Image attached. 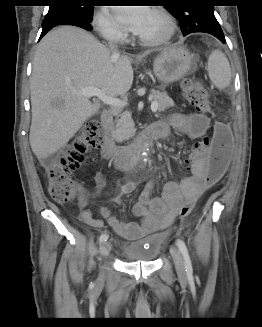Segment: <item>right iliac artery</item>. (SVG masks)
Returning a JSON list of instances; mask_svg holds the SVG:
<instances>
[{
	"label": "right iliac artery",
	"instance_id": "82829eb1",
	"mask_svg": "<svg viewBox=\"0 0 262 327\" xmlns=\"http://www.w3.org/2000/svg\"><path fill=\"white\" fill-rule=\"evenodd\" d=\"M108 239V234L103 233L100 237H99V243H103L105 241H107Z\"/></svg>",
	"mask_w": 262,
	"mask_h": 327
}]
</instances>
